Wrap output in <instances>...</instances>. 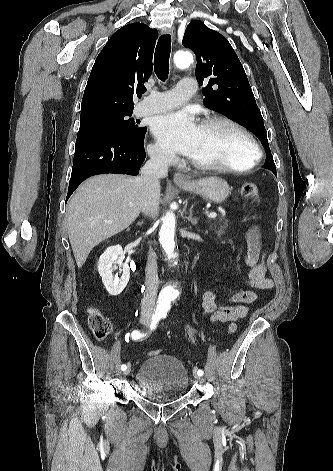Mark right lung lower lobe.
I'll list each match as a JSON object with an SVG mask.
<instances>
[{
  "instance_id": "obj_1",
  "label": "right lung lower lobe",
  "mask_w": 333,
  "mask_h": 471,
  "mask_svg": "<svg viewBox=\"0 0 333 471\" xmlns=\"http://www.w3.org/2000/svg\"><path fill=\"white\" fill-rule=\"evenodd\" d=\"M144 136L132 139L111 131L78 133L66 201L81 182L93 175H138L146 157Z\"/></svg>"
}]
</instances>
